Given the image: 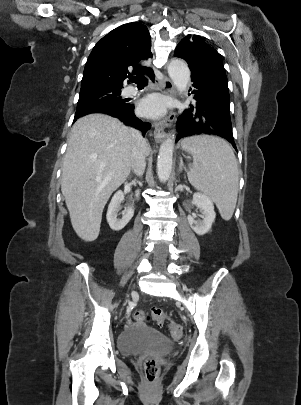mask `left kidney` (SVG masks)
I'll return each mask as SVG.
<instances>
[{"label":"left kidney","instance_id":"obj_1","mask_svg":"<svg viewBox=\"0 0 301 405\" xmlns=\"http://www.w3.org/2000/svg\"><path fill=\"white\" fill-rule=\"evenodd\" d=\"M193 201L196 207L200 209L203 220L196 221L193 216L188 215V222L194 232L202 236L211 229L215 221L216 213L214 211V205L212 200L202 193H195L193 195Z\"/></svg>","mask_w":301,"mask_h":405}]
</instances>
